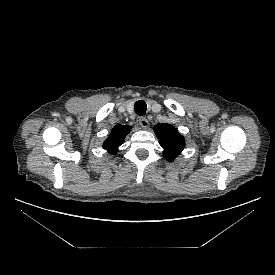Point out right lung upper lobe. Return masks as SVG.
<instances>
[{"label": "right lung upper lobe", "instance_id": "obj_1", "mask_svg": "<svg viewBox=\"0 0 275 275\" xmlns=\"http://www.w3.org/2000/svg\"><path fill=\"white\" fill-rule=\"evenodd\" d=\"M131 127L126 125H116L109 136L104 142L103 147L110 153L115 154L118 147L123 143L125 136L130 132Z\"/></svg>", "mask_w": 275, "mask_h": 275}]
</instances>
